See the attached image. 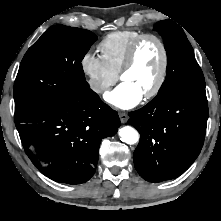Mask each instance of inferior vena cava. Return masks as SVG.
<instances>
[{"mask_svg":"<svg viewBox=\"0 0 221 221\" xmlns=\"http://www.w3.org/2000/svg\"><path fill=\"white\" fill-rule=\"evenodd\" d=\"M92 89L97 91V92H100L102 90H105L106 87L104 85H102V84L99 85V84L95 83V84H92Z\"/></svg>","mask_w":221,"mask_h":221,"instance_id":"inferior-vena-cava-1","label":"inferior vena cava"}]
</instances>
